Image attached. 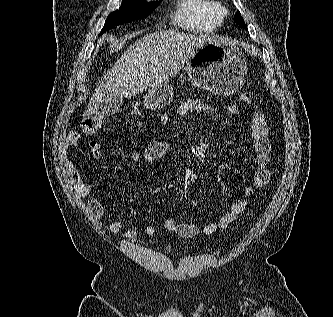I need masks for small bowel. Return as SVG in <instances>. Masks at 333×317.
Listing matches in <instances>:
<instances>
[{"instance_id": "obj_1", "label": "small bowel", "mask_w": 333, "mask_h": 317, "mask_svg": "<svg viewBox=\"0 0 333 317\" xmlns=\"http://www.w3.org/2000/svg\"><path fill=\"white\" fill-rule=\"evenodd\" d=\"M217 109L199 99H188L181 103L177 109L179 116H185L188 113H213ZM228 112L233 115L241 114V109L237 105H230ZM252 146L255 151V172L252 184L243 190V199L233 202L227 212L215 221L206 224L202 232L211 235L219 229H226L231 223L236 221L241 213L248 207L255 198L257 190L265 187L271 180L269 165L271 162V142L269 139V127L265 115L261 112H252L250 114ZM80 134L71 132L67 135L64 142V157L66 162V171L75 191L82 197L86 198V206L90 213L97 219H101L105 215V209L100 201L93 196V188L85 183L77 169L73 159L68 155L69 149L80 140ZM170 143L167 141H157L148 144L143 151H134L130 155L132 162H143L152 164L163 157L170 150ZM102 154V145L96 144L93 149L94 159H99ZM164 227L168 230L175 231L181 237L192 238L199 233V226L195 223L178 222L173 217H167L164 220ZM109 231L112 234H119L126 240H133L137 237L136 229H129L122 232V222L114 220L109 224ZM147 235H154L156 227L148 225L145 228Z\"/></svg>"}]
</instances>
